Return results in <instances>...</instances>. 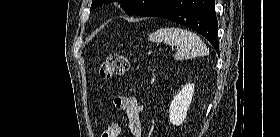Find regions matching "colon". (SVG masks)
Returning <instances> with one entry per match:
<instances>
[{
	"label": "colon",
	"mask_w": 280,
	"mask_h": 137,
	"mask_svg": "<svg viewBox=\"0 0 280 137\" xmlns=\"http://www.w3.org/2000/svg\"><path fill=\"white\" fill-rule=\"evenodd\" d=\"M130 68L129 59L120 53L109 55L100 66L102 78H112L124 75ZM103 137H119V128L114 127L104 132Z\"/></svg>",
	"instance_id": "1"
}]
</instances>
